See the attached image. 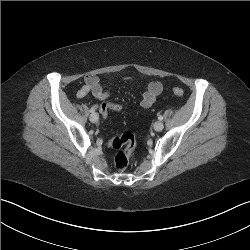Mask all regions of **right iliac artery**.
Instances as JSON below:
<instances>
[{
    "label": "right iliac artery",
    "mask_w": 250,
    "mask_h": 250,
    "mask_svg": "<svg viewBox=\"0 0 250 250\" xmlns=\"http://www.w3.org/2000/svg\"><path fill=\"white\" fill-rule=\"evenodd\" d=\"M90 112H91V113H94V112H95V109H94V108H91V109H90Z\"/></svg>",
    "instance_id": "obj_1"
}]
</instances>
